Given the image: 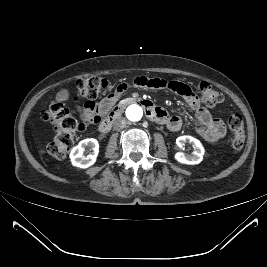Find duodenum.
<instances>
[{
	"label": "duodenum",
	"mask_w": 267,
	"mask_h": 267,
	"mask_svg": "<svg viewBox=\"0 0 267 267\" xmlns=\"http://www.w3.org/2000/svg\"><path fill=\"white\" fill-rule=\"evenodd\" d=\"M129 104L142 105L145 108L148 116L152 120L157 121V122H161L162 114L159 111V108L153 107V105L151 103H149V102H145V101H141V100H138V99L130 98V99H127V100L123 101L122 103H120L116 107H114L112 109V111L101 121V123L98 126L99 132L107 133L111 129V127H112L113 123L115 122V120H117L121 116V114L123 113L124 108Z\"/></svg>",
	"instance_id": "1"
}]
</instances>
